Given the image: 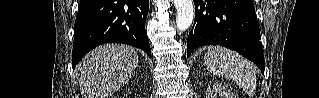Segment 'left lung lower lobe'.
<instances>
[{
	"instance_id": "1",
	"label": "left lung lower lobe",
	"mask_w": 319,
	"mask_h": 98,
	"mask_svg": "<svg viewBox=\"0 0 319 98\" xmlns=\"http://www.w3.org/2000/svg\"><path fill=\"white\" fill-rule=\"evenodd\" d=\"M195 21L187 57L197 47L221 45L253 61L264 74L260 31L252 0H194Z\"/></svg>"
}]
</instances>
